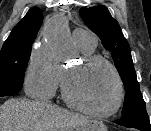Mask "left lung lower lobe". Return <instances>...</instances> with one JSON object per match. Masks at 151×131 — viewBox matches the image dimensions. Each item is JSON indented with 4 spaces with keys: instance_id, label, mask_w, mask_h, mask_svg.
I'll return each mask as SVG.
<instances>
[{
    "instance_id": "1",
    "label": "left lung lower lobe",
    "mask_w": 151,
    "mask_h": 131,
    "mask_svg": "<svg viewBox=\"0 0 151 131\" xmlns=\"http://www.w3.org/2000/svg\"><path fill=\"white\" fill-rule=\"evenodd\" d=\"M115 123L129 128H136L140 131H151V125L146 111L123 116Z\"/></svg>"
}]
</instances>
